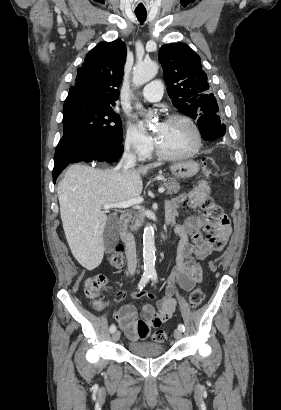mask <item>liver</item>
<instances>
[{"instance_id": "liver-1", "label": "liver", "mask_w": 281, "mask_h": 410, "mask_svg": "<svg viewBox=\"0 0 281 410\" xmlns=\"http://www.w3.org/2000/svg\"><path fill=\"white\" fill-rule=\"evenodd\" d=\"M161 163L120 172L84 164L71 165L58 183L57 193L65 236L76 260L87 270L98 267L104 256L103 232L108 217L102 207L140 196L141 174Z\"/></svg>"}]
</instances>
